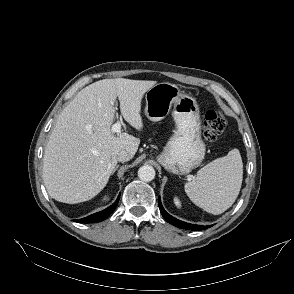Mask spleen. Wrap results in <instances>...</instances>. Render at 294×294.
Instances as JSON below:
<instances>
[{
    "label": "spleen",
    "instance_id": "3e777b00",
    "mask_svg": "<svg viewBox=\"0 0 294 294\" xmlns=\"http://www.w3.org/2000/svg\"><path fill=\"white\" fill-rule=\"evenodd\" d=\"M243 180V162L238 149L201 168L185 184L190 200L208 213L219 215L235 202Z\"/></svg>",
    "mask_w": 294,
    "mask_h": 294
}]
</instances>
